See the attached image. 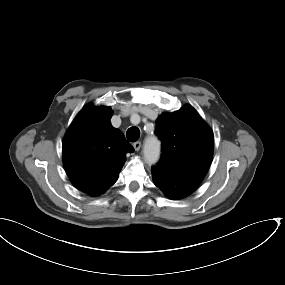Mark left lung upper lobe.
I'll use <instances>...</instances> for the list:
<instances>
[{
  "label": "left lung upper lobe",
  "instance_id": "1",
  "mask_svg": "<svg viewBox=\"0 0 285 285\" xmlns=\"http://www.w3.org/2000/svg\"><path fill=\"white\" fill-rule=\"evenodd\" d=\"M156 135L162 141L156 169L168 176L199 185L213 157L212 130L190 105L156 120Z\"/></svg>",
  "mask_w": 285,
  "mask_h": 285
}]
</instances>
